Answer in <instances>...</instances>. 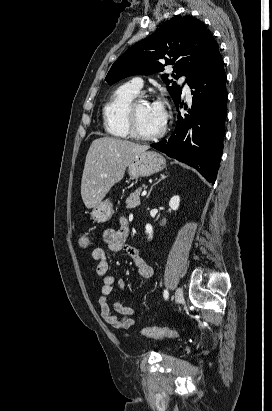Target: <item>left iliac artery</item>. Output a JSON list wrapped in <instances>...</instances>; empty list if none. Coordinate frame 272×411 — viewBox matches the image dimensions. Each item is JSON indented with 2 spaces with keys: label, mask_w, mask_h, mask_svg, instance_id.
I'll return each instance as SVG.
<instances>
[{
  "label": "left iliac artery",
  "mask_w": 272,
  "mask_h": 411,
  "mask_svg": "<svg viewBox=\"0 0 272 411\" xmlns=\"http://www.w3.org/2000/svg\"><path fill=\"white\" fill-rule=\"evenodd\" d=\"M163 295H164L165 300H167V299H168V296H169L168 291H167V290H164Z\"/></svg>",
  "instance_id": "left-iliac-artery-1"
}]
</instances>
